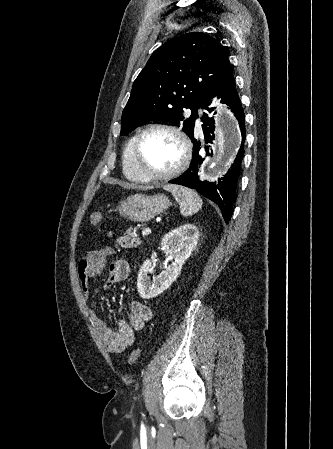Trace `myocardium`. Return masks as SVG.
Returning a JSON list of instances; mask_svg holds the SVG:
<instances>
[{"instance_id":"1","label":"myocardium","mask_w":333,"mask_h":449,"mask_svg":"<svg viewBox=\"0 0 333 449\" xmlns=\"http://www.w3.org/2000/svg\"><path fill=\"white\" fill-rule=\"evenodd\" d=\"M164 131L173 137H175L181 146V159L179 163L170 171L163 174H150L145 172L140 164V152L141 144L144 137L152 131ZM191 143L187 136L178 128L164 124V123H152L147 125L135 138L133 145V164L136 172L144 182H160L167 181L180 175L189 165L191 160Z\"/></svg>"}]
</instances>
